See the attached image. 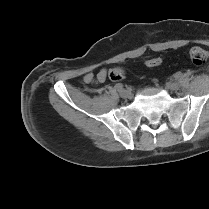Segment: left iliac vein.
I'll return each mask as SVG.
<instances>
[{"mask_svg":"<svg viewBox=\"0 0 209 209\" xmlns=\"http://www.w3.org/2000/svg\"><path fill=\"white\" fill-rule=\"evenodd\" d=\"M166 88L171 91H177L179 89V84L176 82H168Z\"/></svg>","mask_w":209,"mask_h":209,"instance_id":"left-iliac-vein-1","label":"left iliac vein"}]
</instances>
